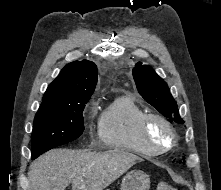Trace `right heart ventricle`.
<instances>
[{
    "instance_id": "obj_1",
    "label": "right heart ventricle",
    "mask_w": 221,
    "mask_h": 190,
    "mask_svg": "<svg viewBox=\"0 0 221 190\" xmlns=\"http://www.w3.org/2000/svg\"><path fill=\"white\" fill-rule=\"evenodd\" d=\"M145 113L133 95H116L99 117L100 140L109 148L154 155L140 138L139 122Z\"/></svg>"
}]
</instances>
